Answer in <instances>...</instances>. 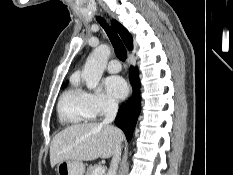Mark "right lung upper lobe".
Listing matches in <instances>:
<instances>
[{
  "label": "right lung upper lobe",
  "instance_id": "cb5924a9",
  "mask_svg": "<svg viewBox=\"0 0 233 175\" xmlns=\"http://www.w3.org/2000/svg\"><path fill=\"white\" fill-rule=\"evenodd\" d=\"M113 28L119 33L120 37L122 38L124 44L129 50L133 49V40L131 34L127 31L125 27H123L119 22L116 20H112L111 22Z\"/></svg>",
  "mask_w": 233,
  "mask_h": 175
}]
</instances>
